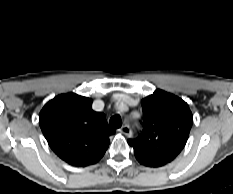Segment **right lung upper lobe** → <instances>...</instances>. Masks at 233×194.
Here are the masks:
<instances>
[{
  "label": "right lung upper lobe",
  "mask_w": 233,
  "mask_h": 194,
  "mask_svg": "<svg viewBox=\"0 0 233 194\" xmlns=\"http://www.w3.org/2000/svg\"><path fill=\"white\" fill-rule=\"evenodd\" d=\"M39 124L51 149L76 167L99 161L115 133L104 114L92 110V99L75 93L50 100L40 112Z\"/></svg>",
  "instance_id": "1"
}]
</instances>
